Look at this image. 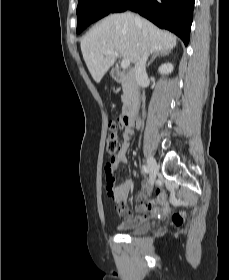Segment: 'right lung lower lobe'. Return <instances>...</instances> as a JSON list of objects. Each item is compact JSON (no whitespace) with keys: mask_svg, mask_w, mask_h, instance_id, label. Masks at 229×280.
Wrapping results in <instances>:
<instances>
[{"mask_svg":"<svg viewBox=\"0 0 229 280\" xmlns=\"http://www.w3.org/2000/svg\"><path fill=\"white\" fill-rule=\"evenodd\" d=\"M194 0H118L111 12L131 10L189 42Z\"/></svg>","mask_w":229,"mask_h":280,"instance_id":"1","label":"right lung lower lobe"}]
</instances>
